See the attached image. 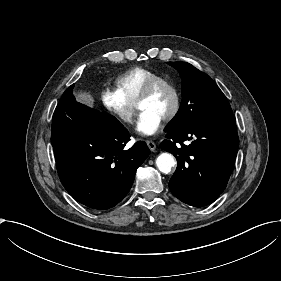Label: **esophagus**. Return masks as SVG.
<instances>
[{
  "instance_id": "esophagus-1",
  "label": "esophagus",
  "mask_w": 281,
  "mask_h": 281,
  "mask_svg": "<svg viewBox=\"0 0 281 281\" xmlns=\"http://www.w3.org/2000/svg\"><path fill=\"white\" fill-rule=\"evenodd\" d=\"M146 144L151 151H154L156 149V144L153 141L147 140Z\"/></svg>"
}]
</instances>
